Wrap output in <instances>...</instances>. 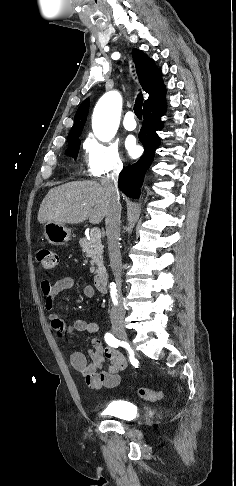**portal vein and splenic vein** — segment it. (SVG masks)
<instances>
[{
	"label": "portal vein and splenic vein",
	"instance_id": "18ae733b",
	"mask_svg": "<svg viewBox=\"0 0 236 486\" xmlns=\"http://www.w3.org/2000/svg\"><path fill=\"white\" fill-rule=\"evenodd\" d=\"M91 237L95 238V239H100L101 238V231L100 229L98 228H93L91 230Z\"/></svg>",
	"mask_w": 236,
	"mask_h": 486
}]
</instances>
